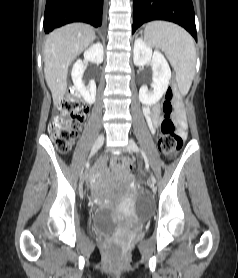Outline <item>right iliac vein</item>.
I'll list each match as a JSON object with an SVG mask.
<instances>
[{
  "label": "right iliac vein",
  "instance_id": "right-iliac-vein-1",
  "mask_svg": "<svg viewBox=\"0 0 238 278\" xmlns=\"http://www.w3.org/2000/svg\"><path fill=\"white\" fill-rule=\"evenodd\" d=\"M104 134H100L92 146L90 156L94 155L104 143ZM80 174H84V168H80ZM83 175H79V180H82Z\"/></svg>",
  "mask_w": 238,
  "mask_h": 278
}]
</instances>
